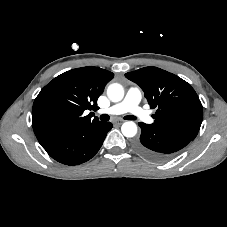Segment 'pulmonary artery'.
Masks as SVG:
<instances>
[{
    "mask_svg": "<svg viewBox=\"0 0 227 227\" xmlns=\"http://www.w3.org/2000/svg\"><path fill=\"white\" fill-rule=\"evenodd\" d=\"M141 98V90L138 87H130L121 102L114 104L111 107L104 109L100 112L109 115L130 113L142 122L151 123V116L140 106Z\"/></svg>",
    "mask_w": 227,
    "mask_h": 227,
    "instance_id": "e3ab8cb5",
    "label": "pulmonary artery"
}]
</instances>
